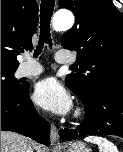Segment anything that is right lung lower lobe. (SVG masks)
I'll return each mask as SVG.
<instances>
[{"mask_svg":"<svg viewBox=\"0 0 123 152\" xmlns=\"http://www.w3.org/2000/svg\"><path fill=\"white\" fill-rule=\"evenodd\" d=\"M29 86L1 92V131H13L50 145V124L38 115L28 94Z\"/></svg>","mask_w":123,"mask_h":152,"instance_id":"1","label":"right lung lower lobe"}]
</instances>
